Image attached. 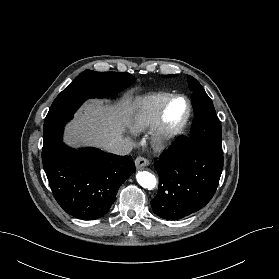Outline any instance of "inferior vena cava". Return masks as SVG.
Wrapping results in <instances>:
<instances>
[{
    "instance_id": "602c4592",
    "label": "inferior vena cava",
    "mask_w": 279,
    "mask_h": 279,
    "mask_svg": "<svg viewBox=\"0 0 279 279\" xmlns=\"http://www.w3.org/2000/svg\"><path fill=\"white\" fill-rule=\"evenodd\" d=\"M133 149V143L128 138L113 140L106 144L105 150L116 155H127Z\"/></svg>"
}]
</instances>
